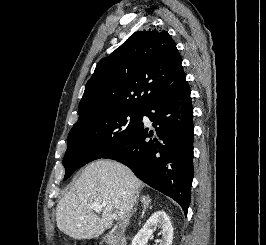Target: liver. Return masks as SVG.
<instances>
[{"mask_svg":"<svg viewBox=\"0 0 266 245\" xmlns=\"http://www.w3.org/2000/svg\"><path fill=\"white\" fill-rule=\"evenodd\" d=\"M142 181L134 173L111 159H98L86 165L56 209L59 231L72 239L100 237L112 227L114 215L132 211ZM102 205L101 217L95 215L92 205Z\"/></svg>","mask_w":266,"mask_h":245,"instance_id":"1","label":"liver"}]
</instances>
